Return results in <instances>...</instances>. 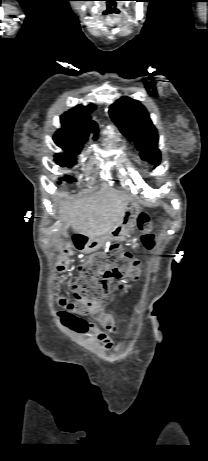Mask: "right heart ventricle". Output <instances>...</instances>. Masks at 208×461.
Returning a JSON list of instances; mask_svg holds the SVG:
<instances>
[{
	"label": "right heart ventricle",
	"mask_w": 208,
	"mask_h": 461,
	"mask_svg": "<svg viewBox=\"0 0 208 461\" xmlns=\"http://www.w3.org/2000/svg\"><path fill=\"white\" fill-rule=\"evenodd\" d=\"M122 144L121 140L116 137V135L109 131L106 133L105 137V147L109 149L118 148Z\"/></svg>",
	"instance_id": "e07e8e85"
}]
</instances>
